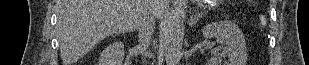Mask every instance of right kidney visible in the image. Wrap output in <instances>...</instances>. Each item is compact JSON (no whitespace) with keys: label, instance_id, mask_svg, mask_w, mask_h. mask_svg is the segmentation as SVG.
I'll use <instances>...</instances> for the list:
<instances>
[{"label":"right kidney","instance_id":"ca27d5eb","mask_svg":"<svg viewBox=\"0 0 309 65\" xmlns=\"http://www.w3.org/2000/svg\"><path fill=\"white\" fill-rule=\"evenodd\" d=\"M124 44L120 41L110 44L102 53L99 65H122Z\"/></svg>","mask_w":309,"mask_h":65}]
</instances>
